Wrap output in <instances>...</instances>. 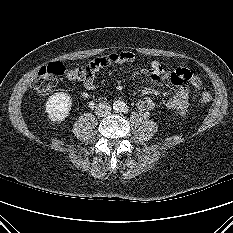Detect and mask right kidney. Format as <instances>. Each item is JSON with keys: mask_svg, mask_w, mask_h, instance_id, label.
Returning <instances> with one entry per match:
<instances>
[{"mask_svg": "<svg viewBox=\"0 0 233 233\" xmlns=\"http://www.w3.org/2000/svg\"><path fill=\"white\" fill-rule=\"evenodd\" d=\"M71 106L72 99L64 92L55 93L50 96L45 105L48 118L53 122L65 120L69 116Z\"/></svg>", "mask_w": 233, "mask_h": 233, "instance_id": "1", "label": "right kidney"}]
</instances>
